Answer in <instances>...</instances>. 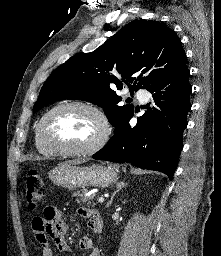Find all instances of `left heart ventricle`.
I'll return each instance as SVG.
<instances>
[{
    "mask_svg": "<svg viewBox=\"0 0 221 256\" xmlns=\"http://www.w3.org/2000/svg\"><path fill=\"white\" fill-rule=\"evenodd\" d=\"M46 136L56 144L69 148L89 146L99 137L101 124L90 111L79 107L63 108L47 121Z\"/></svg>",
    "mask_w": 221,
    "mask_h": 256,
    "instance_id": "obj_1",
    "label": "left heart ventricle"
}]
</instances>
